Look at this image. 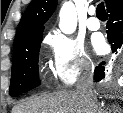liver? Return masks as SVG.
Segmentation results:
<instances>
[{
  "mask_svg": "<svg viewBox=\"0 0 123 113\" xmlns=\"http://www.w3.org/2000/svg\"><path fill=\"white\" fill-rule=\"evenodd\" d=\"M13 113H88V107L76 91L61 90L32 97Z\"/></svg>",
  "mask_w": 123,
  "mask_h": 113,
  "instance_id": "6515ba94",
  "label": "liver"
}]
</instances>
